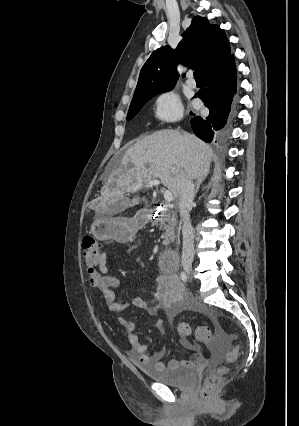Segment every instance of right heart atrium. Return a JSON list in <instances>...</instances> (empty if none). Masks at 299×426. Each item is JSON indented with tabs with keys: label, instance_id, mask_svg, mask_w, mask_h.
I'll list each match as a JSON object with an SVG mask.
<instances>
[{
	"label": "right heart atrium",
	"instance_id": "right-heart-atrium-1",
	"mask_svg": "<svg viewBox=\"0 0 299 426\" xmlns=\"http://www.w3.org/2000/svg\"><path fill=\"white\" fill-rule=\"evenodd\" d=\"M153 116L161 123H173L183 116V106L173 90L158 94L154 99Z\"/></svg>",
	"mask_w": 299,
	"mask_h": 426
}]
</instances>
